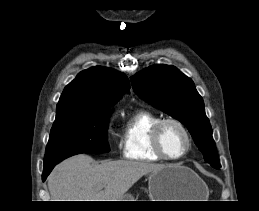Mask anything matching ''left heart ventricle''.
<instances>
[{"instance_id": "b2bd125f", "label": "left heart ventricle", "mask_w": 259, "mask_h": 211, "mask_svg": "<svg viewBox=\"0 0 259 211\" xmlns=\"http://www.w3.org/2000/svg\"><path fill=\"white\" fill-rule=\"evenodd\" d=\"M161 140L163 148L169 156H178L187 146L184 133L175 124H167L163 128Z\"/></svg>"}]
</instances>
